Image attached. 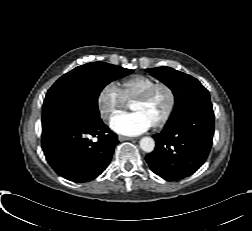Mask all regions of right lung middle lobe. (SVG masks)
<instances>
[{
  "label": "right lung middle lobe",
  "mask_w": 252,
  "mask_h": 231,
  "mask_svg": "<svg viewBox=\"0 0 252 231\" xmlns=\"http://www.w3.org/2000/svg\"><path fill=\"white\" fill-rule=\"evenodd\" d=\"M131 73L130 69L105 62H91L74 68L49 89L43 104L42 126L63 117L99 120L98 96L102 89Z\"/></svg>",
  "instance_id": "1"
}]
</instances>
